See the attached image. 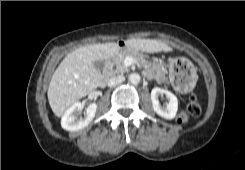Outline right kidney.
Here are the masks:
<instances>
[{"label": "right kidney", "mask_w": 245, "mask_h": 170, "mask_svg": "<svg viewBox=\"0 0 245 170\" xmlns=\"http://www.w3.org/2000/svg\"><path fill=\"white\" fill-rule=\"evenodd\" d=\"M82 109L83 105L81 102H75L71 107H69L62 116V128L68 131H78L89 125L95 117L97 104L91 103L87 107L84 118L78 117V114Z\"/></svg>", "instance_id": "right-kidney-1"}]
</instances>
